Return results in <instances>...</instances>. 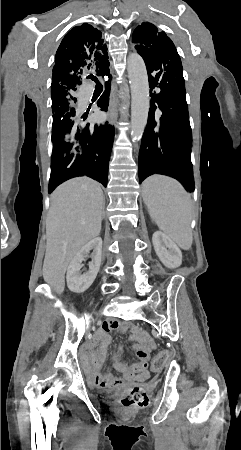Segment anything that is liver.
<instances>
[{
    "label": "liver",
    "mask_w": 241,
    "mask_h": 450,
    "mask_svg": "<svg viewBox=\"0 0 241 450\" xmlns=\"http://www.w3.org/2000/svg\"><path fill=\"white\" fill-rule=\"evenodd\" d=\"M103 208L100 184L86 176L64 182L51 194L42 274L57 294L65 288V272L73 256L99 236Z\"/></svg>",
    "instance_id": "liver-1"
}]
</instances>
